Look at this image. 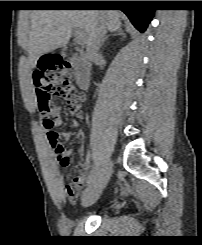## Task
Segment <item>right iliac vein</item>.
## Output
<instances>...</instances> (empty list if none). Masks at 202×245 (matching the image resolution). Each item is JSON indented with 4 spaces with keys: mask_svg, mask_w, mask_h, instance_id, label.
Returning <instances> with one entry per match:
<instances>
[{
    "mask_svg": "<svg viewBox=\"0 0 202 245\" xmlns=\"http://www.w3.org/2000/svg\"><path fill=\"white\" fill-rule=\"evenodd\" d=\"M112 161L106 162L103 170L97 178L85 189L82 194V203L84 206L93 204L102 194L111 174H112Z\"/></svg>",
    "mask_w": 202,
    "mask_h": 245,
    "instance_id": "obj_1",
    "label": "right iliac vein"
}]
</instances>
